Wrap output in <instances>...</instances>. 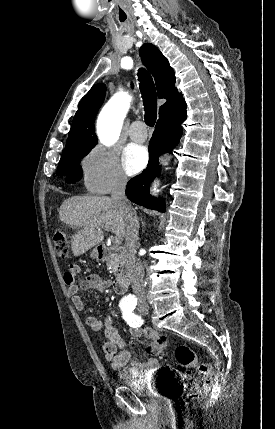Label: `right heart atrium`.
<instances>
[{
    "mask_svg": "<svg viewBox=\"0 0 275 429\" xmlns=\"http://www.w3.org/2000/svg\"><path fill=\"white\" fill-rule=\"evenodd\" d=\"M80 167L84 186L92 193L107 194L127 183L118 154L104 146L91 148L82 158Z\"/></svg>",
    "mask_w": 275,
    "mask_h": 429,
    "instance_id": "obj_1",
    "label": "right heart atrium"
}]
</instances>
